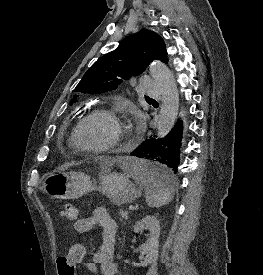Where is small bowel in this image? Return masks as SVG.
Here are the masks:
<instances>
[{
    "label": "small bowel",
    "mask_w": 263,
    "mask_h": 275,
    "mask_svg": "<svg viewBox=\"0 0 263 275\" xmlns=\"http://www.w3.org/2000/svg\"><path fill=\"white\" fill-rule=\"evenodd\" d=\"M97 225L102 229V243L92 260L86 263L87 270L91 275H97L99 270L102 275H115L117 271V264L114 260L117 225L107 210L103 207L94 209L90 216L78 219L74 223V230L85 233Z\"/></svg>",
    "instance_id": "obj_1"
}]
</instances>
